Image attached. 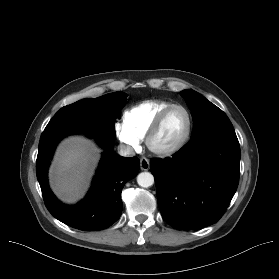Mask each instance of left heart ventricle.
I'll list each match as a JSON object with an SVG mask.
<instances>
[{
	"label": "left heart ventricle",
	"instance_id": "1",
	"mask_svg": "<svg viewBox=\"0 0 279 279\" xmlns=\"http://www.w3.org/2000/svg\"><path fill=\"white\" fill-rule=\"evenodd\" d=\"M187 127V118L183 110L171 111L157 133L154 144L157 147H169L177 143Z\"/></svg>",
	"mask_w": 279,
	"mask_h": 279
}]
</instances>
